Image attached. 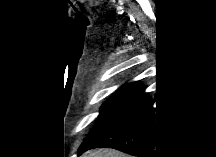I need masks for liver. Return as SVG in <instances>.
I'll return each mask as SVG.
<instances>
[{"label":"liver","mask_w":216,"mask_h":157,"mask_svg":"<svg viewBox=\"0 0 216 157\" xmlns=\"http://www.w3.org/2000/svg\"><path fill=\"white\" fill-rule=\"evenodd\" d=\"M84 157H128L113 149H98L84 154Z\"/></svg>","instance_id":"1"}]
</instances>
